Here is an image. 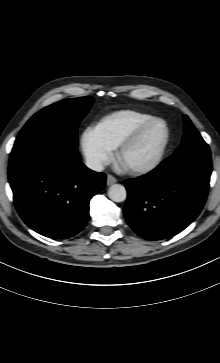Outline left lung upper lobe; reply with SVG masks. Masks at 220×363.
Instances as JSON below:
<instances>
[{
	"instance_id": "1",
	"label": "left lung upper lobe",
	"mask_w": 220,
	"mask_h": 363,
	"mask_svg": "<svg viewBox=\"0 0 220 363\" xmlns=\"http://www.w3.org/2000/svg\"><path fill=\"white\" fill-rule=\"evenodd\" d=\"M189 148L209 149L207 143L202 139L201 135L194 128L188 116L184 115V136L182 144L175 152Z\"/></svg>"
}]
</instances>
